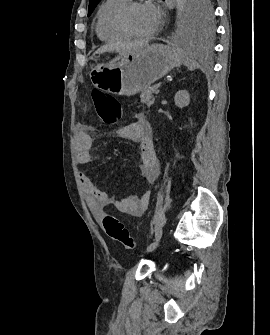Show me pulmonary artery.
<instances>
[{
  "mask_svg": "<svg viewBox=\"0 0 270 335\" xmlns=\"http://www.w3.org/2000/svg\"><path fill=\"white\" fill-rule=\"evenodd\" d=\"M122 1L130 3V2H132L133 0H122Z\"/></svg>",
  "mask_w": 270,
  "mask_h": 335,
  "instance_id": "1",
  "label": "pulmonary artery"
}]
</instances>
